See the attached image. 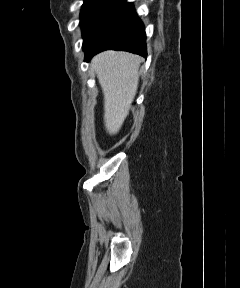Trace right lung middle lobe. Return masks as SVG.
<instances>
[{"label":"right lung middle lobe","instance_id":"right-lung-middle-lobe-1","mask_svg":"<svg viewBox=\"0 0 240 288\" xmlns=\"http://www.w3.org/2000/svg\"><path fill=\"white\" fill-rule=\"evenodd\" d=\"M122 0H84L81 10L83 45L87 44Z\"/></svg>","mask_w":240,"mask_h":288}]
</instances>
